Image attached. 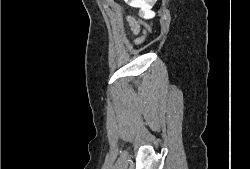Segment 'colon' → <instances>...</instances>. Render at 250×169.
Wrapping results in <instances>:
<instances>
[{"label":"colon","instance_id":"colon-1","mask_svg":"<svg viewBox=\"0 0 250 169\" xmlns=\"http://www.w3.org/2000/svg\"><path fill=\"white\" fill-rule=\"evenodd\" d=\"M145 23V22H144ZM146 24V28H151V23H145Z\"/></svg>","mask_w":250,"mask_h":169}]
</instances>
